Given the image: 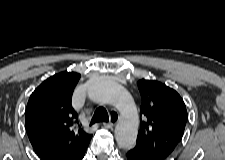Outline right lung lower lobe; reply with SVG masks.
<instances>
[{
	"mask_svg": "<svg viewBox=\"0 0 225 160\" xmlns=\"http://www.w3.org/2000/svg\"><path fill=\"white\" fill-rule=\"evenodd\" d=\"M86 152V151H85ZM85 152L78 158V159H76V160H82V158L84 157V155H85ZM43 159V158H42ZM44 160H46V159H44Z\"/></svg>",
	"mask_w": 225,
	"mask_h": 160,
	"instance_id": "obj_1",
	"label": "right lung lower lobe"
}]
</instances>
